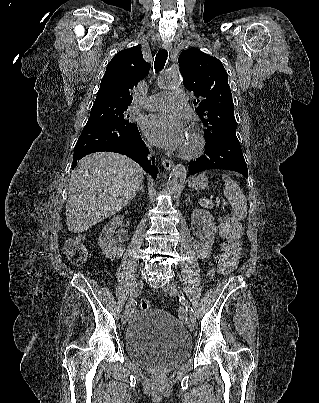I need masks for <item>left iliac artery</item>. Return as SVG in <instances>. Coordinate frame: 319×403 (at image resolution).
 <instances>
[{"label": "left iliac artery", "instance_id": "obj_1", "mask_svg": "<svg viewBox=\"0 0 319 403\" xmlns=\"http://www.w3.org/2000/svg\"><path fill=\"white\" fill-rule=\"evenodd\" d=\"M179 300L181 301V302H183V301H185V297L184 296H180L179 297ZM190 317L193 319V321L196 323V318H195V313H194V310H193V308H190Z\"/></svg>", "mask_w": 319, "mask_h": 403}]
</instances>
